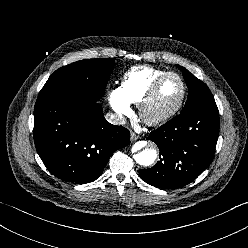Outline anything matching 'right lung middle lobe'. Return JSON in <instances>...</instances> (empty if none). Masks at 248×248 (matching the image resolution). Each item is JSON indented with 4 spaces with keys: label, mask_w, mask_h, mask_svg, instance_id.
I'll list each match as a JSON object with an SVG mask.
<instances>
[{
    "label": "right lung middle lobe",
    "mask_w": 248,
    "mask_h": 248,
    "mask_svg": "<svg viewBox=\"0 0 248 248\" xmlns=\"http://www.w3.org/2000/svg\"><path fill=\"white\" fill-rule=\"evenodd\" d=\"M113 58L86 59L56 70L47 80L38 99L65 96L85 102H97L113 70Z\"/></svg>",
    "instance_id": "right-lung-middle-lobe-1"
}]
</instances>
